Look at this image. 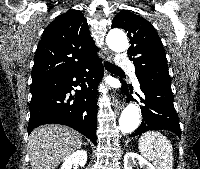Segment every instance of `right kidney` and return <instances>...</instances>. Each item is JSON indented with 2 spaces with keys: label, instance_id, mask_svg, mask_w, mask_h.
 Here are the masks:
<instances>
[{
  "label": "right kidney",
  "instance_id": "1",
  "mask_svg": "<svg viewBox=\"0 0 200 169\" xmlns=\"http://www.w3.org/2000/svg\"><path fill=\"white\" fill-rule=\"evenodd\" d=\"M87 162V152L84 150H77L64 159L60 169H71L73 165L83 167Z\"/></svg>",
  "mask_w": 200,
  "mask_h": 169
}]
</instances>
